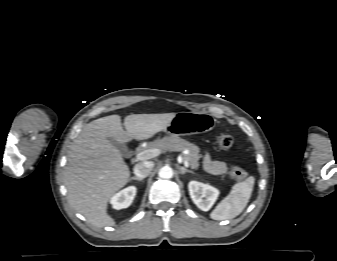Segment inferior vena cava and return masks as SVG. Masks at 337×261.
<instances>
[{"mask_svg": "<svg viewBox=\"0 0 337 261\" xmlns=\"http://www.w3.org/2000/svg\"><path fill=\"white\" fill-rule=\"evenodd\" d=\"M153 166H154V163L151 161L138 163L134 167V174L137 177L145 178L151 173Z\"/></svg>", "mask_w": 337, "mask_h": 261, "instance_id": "obj_1", "label": "inferior vena cava"}]
</instances>
